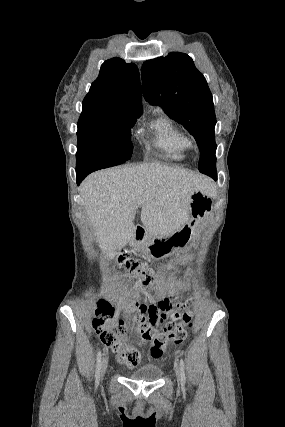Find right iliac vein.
Listing matches in <instances>:
<instances>
[{
  "instance_id": "right-iliac-vein-1",
  "label": "right iliac vein",
  "mask_w": 285,
  "mask_h": 427,
  "mask_svg": "<svg viewBox=\"0 0 285 427\" xmlns=\"http://www.w3.org/2000/svg\"><path fill=\"white\" fill-rule=\"evenodd\" d=\"M107 366H108V362L106 359H104L102 364H101L100 377H99L98 383L102 379L103 375L105 374Z\"/></svg>"
}]
</instances>
